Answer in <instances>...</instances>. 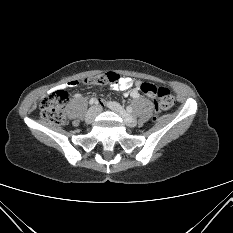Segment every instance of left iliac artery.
<instances>
[{
	"label": "left iliac artery",
	"instance_id": "44dca946",
	"mask_svg": "<svg viewBox=\"0 0 233 233\" xmlns=\"http://www.w3.org/2000/svg\"><path fill=\"white\" fill-rule=\"evenodd\" d=\"M127 111L129 112V113H131L132 111H133V109H132V107H130V106H127Z\"/></svg>",
	"mask_w": 233,
	"mask_h": 233
}]
</instances>
